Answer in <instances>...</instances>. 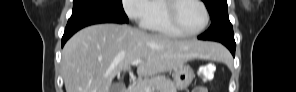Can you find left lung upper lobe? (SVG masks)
<instances>
[{
    "mask_svg": "<svg viewBox=\"0 0 296 92\" xmlns=\"http://www.w3.org/2000/svg\"><path fill=\"white\" fill-rule=\"evenodd\" d=\"M210 17L211 26L203 33L205 40L212 41H234L232 24L229 21L226 0H203Z\"/></svg>",
    "mask_w": 296,
    "mask_h": 92,
    "instance_id": "1",
    "label": "left lung upper lobe"
}]
</instances>
